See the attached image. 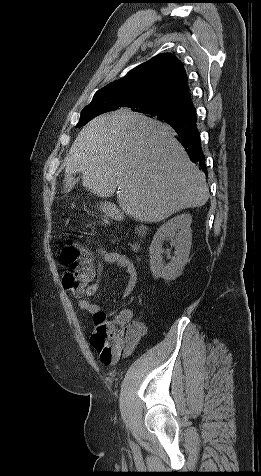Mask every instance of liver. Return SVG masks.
Instances as JSON below:
<instances>
[{
	"instance_id": "obj_1",
	"label": "liver",
	"mask_w": 261,
	"mask_h": 476,
	"mask_svg": "<svg viewBox=\"0 0 261 476\" xmlns=\"http://www.w3.org/2000/svg\"><path fill=\"white\" fill-rule=\"evenodd\" d=\"M64 190L82 185L100 197L118 188L117 202L140 222H160L209 198L205 174L191 162L172 129L121 110L91 120L65 159Z\"/></svg>"
}]
</instances>
